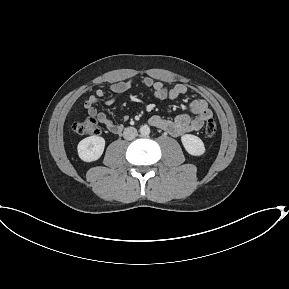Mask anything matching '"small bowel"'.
Instances as JSON below:
<instances>
[{"label": "small bowel", "mask_w": 289, "mask_h": 289, "mask_svg": "<svg viewBox=\"0 0 289 289\" xmlns=\"http://www.w3.org/2000/svg\"><path fill=\"white\" fill-rule=\"evenodd\" d=\"M133 81H120L113 83L110 90L113 96L107 101V104L114 102L115 98L130 89ZM141 84L152 90L156 99H177L179 96L188 92V87L184 84H177L173 87H167L162 81L155 80L151 77H145L141 80ZM102 89L96 90L85 102L84 108L89 116L96 118L100 123L104 124L111 133H118L122 129V125L117 124L109 119L103 112L97 110L96 105L104 96ZM212 118V112L208 103L204 99H194L189 105V112L177 115L173 119L154 115L150 118L151 125L163 129L174 137H182L188 133L199 131L203 124Z\"/></svg>", "instance_id": "small-bowel-1"}]
</instances>
